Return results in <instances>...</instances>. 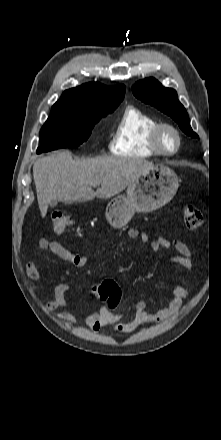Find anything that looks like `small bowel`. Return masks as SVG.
Listing matches in <instances>:
<instances>
[{"mask_svg": "<svg viewBox=\"0 0 221 440\" xmlns=\"http://www.w3.org/2000/svg\"><path fill=\"white\" fill-rule=\"evenodd\" d=\"M128 236L131 239L140 238L142 242H148V236L145 232H140L136 228L128 230ZM151 249L154 252L161 248H174L178 253L172 255L169 259L170 264L191 270L194 265L192 262V252L190 248L180 240L169 241L162 237L157 238L151 242ZM37 250H49L58 256L63 261L72 264L77 268L85 267L90 259L88 256L79 255L71 252L57 241L41 239L36 245ZM26 272L28 277L33 281H38L41 274L34 261H30L26 265ZM72 290V286L68 283H60L54 288V299L46 303V309L54 311L66 306V296ZM189 296V292L180 284H173L170 290V302L163 306L156 312L147 311V303L140 300L134 304L133 317L121 322L122 315L115 313L111 315L106 306L100 308L97 312L80 314L78 312L66 311L58 313V318L66 323H74L82 320L88 328L94 332H98L106 326L114 325V329L118 333L128 334L134 332L136 329L144 324L163 321L179 312L183 301ZM119 302V301H118ZM117 302V303H118Z\"/></svg>", "mask_w": 221, "mask_h": 440, "instance_id": "c3829d8e", "label": "small bowel"}]
</instances>
